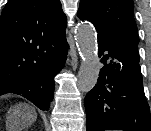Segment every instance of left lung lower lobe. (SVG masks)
Segmentation results:
<instances>
[{
  "mask_svg": "<svg viewBox=\"0 0 151 131\" xmlns=\"http://www.w3.org/2000/svg\"><path fill=\"white\" fill-rule=\"evenodd\" d=\"M104 64L97 84L84 103L87 131H151L150 109L143 89L140 65L119 55L98 39Z\"/></svg>",
  "mask_w": 151,
  "mask_h": 131,
  "instance_id": "left-lung-lower-lobe-1",
  "label": "left lung lower lobe"
}]
</instances>
